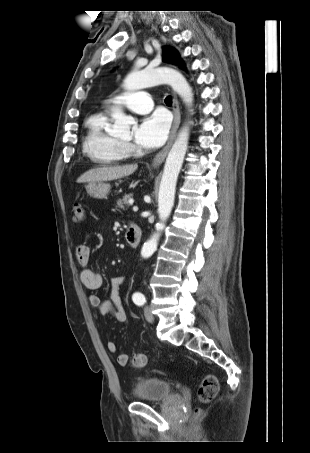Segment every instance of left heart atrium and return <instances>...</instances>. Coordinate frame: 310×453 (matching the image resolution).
Listing matches in <instances>:
<instances>
[{"mask_svg": "<svg viewBox=\"0 0 310 453\" xmlns=\"http://www.w3.org/2000/svg\"><path fill=\"white\" fill-rule=\"evenodd\" d=\"M170 121L164 113H154L141 120L134 129V140L144 149L161 146L167 138Z\"/></svg>", "mask_w": 310, "mask_h": 453, "instance_id": "1", "label": "left heart atrium"}]
</instances>
